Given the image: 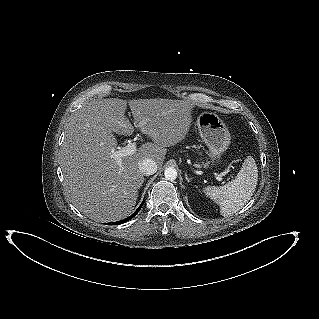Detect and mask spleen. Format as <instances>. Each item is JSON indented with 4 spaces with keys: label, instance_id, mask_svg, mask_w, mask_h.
Instances as JSON below:
<instances>
[{
    "label": "spleen",
    "instance_id": "spleen-1",
    "mask_svg": "<svg viewBox=\"0 0 319 319\" xmlns=\"http://www.w3.org/2000/svg\"><path fill=\"white\" fill-rule=\"evenodd\" d=\"M257 182V165L254 158L248 156L234 180L220 187L207 186L204 193L220 206L223 216H230L252 198Z\"/></svg>",
    "mask_w": 319,
    "mask_h": 319
}]
</instances>
